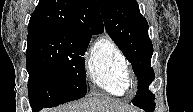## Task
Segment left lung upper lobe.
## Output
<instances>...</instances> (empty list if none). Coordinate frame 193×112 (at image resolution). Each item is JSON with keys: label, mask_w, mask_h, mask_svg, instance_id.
I'll list each match as a JSON object with an SVG mask.
<instances>
[{"label": "left lung upper lobe", "mask_w": 193, "mask_h": 112, "mask_svg": "<svg viewBox=\"0 0 193 112\" xmlns=\"http://www.w3.org/2000/svg\"><path fill=\"white\" fill-rule=\"evenodd\" d=\"M104 25L138 78V91L133 104L146 108L155 96L148 89L155 75L151 67L152 42L148 36V23L140 14L136 0H97Z\"/></svg>", "instance_id": "1"}]
</instances>
